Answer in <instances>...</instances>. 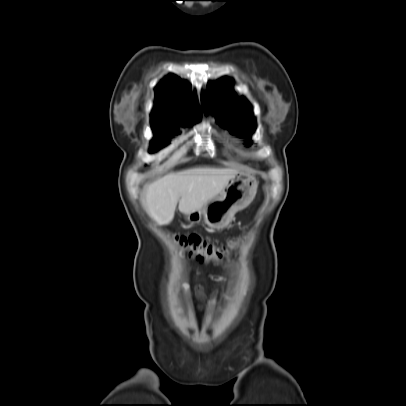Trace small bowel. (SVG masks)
Here are the masks:
<instances>
[{"instance_id":"c3829d8e","label":"small bowel","mask_w":406,"mask_h":406,"mask_svg":"<svg viewBox=\"0 0 406 406\" xmlns=\"http://www.w3.org/2000/svg\"><path fill=\"white\" fill-rule=\"evenodd\" d=\"M217 279H218V280H222L223 278H222V277H217ZM197 294H198V297H199V298H201V299H204V298H205V295H204V292H203V289H202L201 286H198V288H197Z\"/></svg>"}]
</instances>
